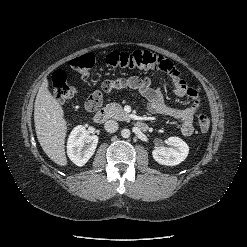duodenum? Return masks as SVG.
<instances>
[{
  "label": "duodenum",
  "mask_w": 247,
  "mask_h": 247,
  "mask_svg": "<svg viewBox=\"0 0 247 247\" xmlns=\"http://www.w3.org/2000/svg\"><path fill=\"white\" fill-rule=\"evenodd\" d=\"M106 119H107V114H106V111L103 109L96 111L94 116H93L94 122L98 123V124L105 122ZM136 125L139 129H141L143 131H146L148 128L147 124L143 121H138Z\"/></svg>",
  "instance_id": "obj_1"
}]
</instances>
